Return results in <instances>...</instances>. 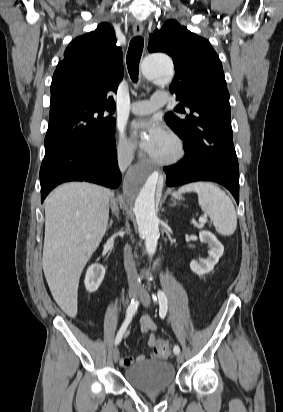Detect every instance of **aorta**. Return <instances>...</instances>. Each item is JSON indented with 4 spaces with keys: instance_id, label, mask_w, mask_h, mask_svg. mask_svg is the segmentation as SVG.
Segmentation results:
<instances>
[{
    "instance_id": "aorta-1",
    "label": "aorta",
    "mask_w": 283,
    "mask_h": 412,
    "mask_svg": "<svg viewBox=\"0 0 283 412\" xmlns=\"http://www.w3.org/2000/svg\"><path fill=\"white\" fill-rule=\"evenodd\" d=\"M172 60L164 54L150 55L142 63V75L154 83L167 82L173 76ZM159 182L157 171L137 169L128 174L123 190L134 203L138 230L145 239L147 253L153 256L160 236L155 212V192Z\"/></svg>"
}]
</instances>
